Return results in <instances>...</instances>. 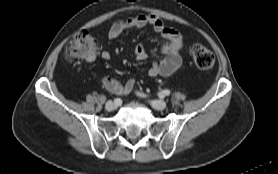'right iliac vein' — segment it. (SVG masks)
<instances>
[{
    "mask_svg": "<svg viewBox=\"0 0 278 174\" xmlns=\"http://www.w3.org/2000/svg\"><path fill=\"white\" fill-rule=\"evenodd\" d=\"M116 107L117 105L112 101H108L105 105L107 111H113L114 109H116Z\"/></svg>",
    "mask_w": 278,
    "mask_h": 174,
    "instance_id": "right-iliac-vein-1",
    "label": "right iliac vein"
}]
</instances>
